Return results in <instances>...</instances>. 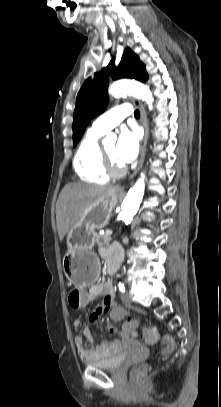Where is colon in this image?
<instances>
[{
	"label": "colon",
	"instance_id": "5ec220e1",
	"mask_svg": "<svg viewBox=\"0 0 221 407\" xmlns=\"http://www.w3.org/2000/svg\"><path fill=\"white\" fill-rule=\"evenodd\" d=\"M69 292L68 303L71 310L85 311L88 304L87 295L89 294V287L71 286ZM108 316L113 321L120 322V327L123 330L140 329L142 326L141 321L136 320L129 310H125L123 305H114L113 309L108 311ZM142 337L146 342L153 344L159 340L160 334L156 327H148L143 329ZM163 343L165 347L162 350V354L165 356L170 355L176 348V342L170 336L164 337ZM145 369L144 365L134 367L131 372L132 379L138 381L144 374Z\"/></svg>",
	"mask_w": 221,
	"mask_h": 407
}]
</instances>
